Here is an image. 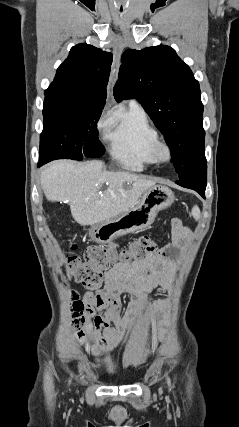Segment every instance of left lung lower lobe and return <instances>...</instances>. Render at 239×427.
<instances>
[{
  "label": "left lung lower lobe",
  "mask_w": 239,
  "mask_h": 427,
  "mask_svg": "<svg viewBox=\"0 0 239 427\" xmlns=\"http://www.w3.org/2000/svg\"><path fill=\"white\" fill-rule=\"evenodd\" d=\"M176 184L195 190L198 192L203 198H205V189L207 184V166H201L197 170L194 171L193 174L183 178L178 179Z\"/></svg>",
  "instance_id": "left-lung-lower-lobe-1"
}]
</instances>
